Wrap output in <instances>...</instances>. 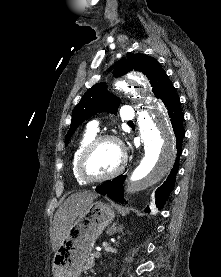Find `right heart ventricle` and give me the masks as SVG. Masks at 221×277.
Segmentation results:
<instances>
[{
	"instance_id": "right-heart-ventricle-1",
	"label": "right heart ventricle",
	"mask_w": 221,
	"mask_h": 277,
	"mask_svg": "<svg viewBox=\"0 0 221 277\" xmlns=\"http://www.w3.org/2000/svg\"><path fill=\"white\" fill-rule=\"evenodd\" d=\"M96 137V132L87 130L82 137L80 138V140L77 143V146L73 152V156H72V162H71V167H72V173L73 176L75 178V180L82 184L84 183V181L78 176L77 174V169H76V165H77V161L78 158L81 154V152L83 151V149Z\"/></svg>"
}]
</instances>
